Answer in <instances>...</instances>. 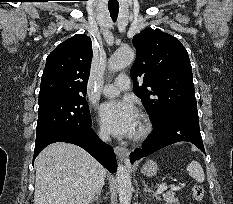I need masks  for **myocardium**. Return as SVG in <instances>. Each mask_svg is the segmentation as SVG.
Segmentation results:
<instances>
[{"label": "myocardium", "instance_id": "obj_1", "mask_svg": "<svg viewBox=\"0 0 233 204\" xmlns=\"http://www.w3.org/2000/svg\"><path fill=\"white\" fill-rule=\"evenodd\" d=\"M140 120V126L136 133L132 135V140L135 142H141L145 140L152 132V123L151 120L145 112L140 111L138 113Z\"/></svg>", "mask_w": 233, "mask_h": 204}]
</instances>
